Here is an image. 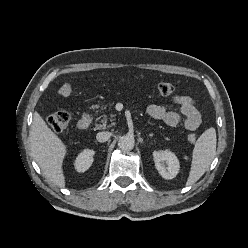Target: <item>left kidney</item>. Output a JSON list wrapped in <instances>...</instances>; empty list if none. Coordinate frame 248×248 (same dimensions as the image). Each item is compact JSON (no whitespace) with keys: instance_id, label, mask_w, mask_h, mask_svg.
Wrapping results in <instances>:
<instances>
[{"instance_id":"5707ae66","label":"left kidney","mask_w":248,"mask_h":248,"mask_svg":"<svg viewBox=\"0 0 248 248\" xmlns=\"http://www.w3.org/2000/svg\"><path fill=\"white\" fill-rule=\"evenodd\" d=\"M155 168L164 179H173L179 172L180 164L176 155L170 150L154 151Z\"/></svg>"}]
</instances>
